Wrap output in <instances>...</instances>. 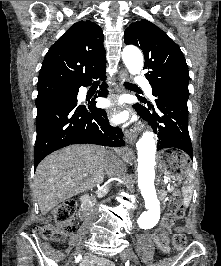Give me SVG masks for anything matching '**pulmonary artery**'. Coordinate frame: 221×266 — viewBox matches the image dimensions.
Returning a JSON list of instances; mask_svg holds the SVG:
<instances>
[{
    "label": "pulmonary artery",
    "mask_w": 221,
    "mask_h": 266,
    "mask_svg": "<svg viewBox=\"0 0 221 266\" xmlns=\"http://www.w3.org/2000/svg\"><path fill=\"white\" fill-rule=\"evenodd\" d=\"M141 80H142L141 77H137L136 78V81H138V82H140ZM145 89H146V91H147L148 94H152V88H151V86L149 84H146L145 85Z\"/></svg>",
    "instance_id": "e3ab8cb5"
}]
</instances>
